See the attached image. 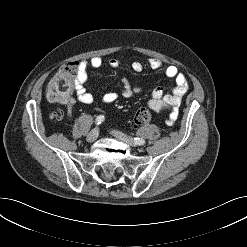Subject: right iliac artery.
<instances>
[{
  "mask_svg": "<svg viewBox=\"0 0 247 247\" xmlns=\"http://www.w3.org/2000/svg\"><path fill=\"white\" fill-rule=\"evenodd\" d=\"M105 120V117L103 115H99L96 120H95V123L97 125L101 124L103 121Z\"/></svg>",
  "mask_w": 247,
  "mask_h": 247,
  "instance_id": "82829eb1",
  "label": "right iliac artery"
}]
</instances>
